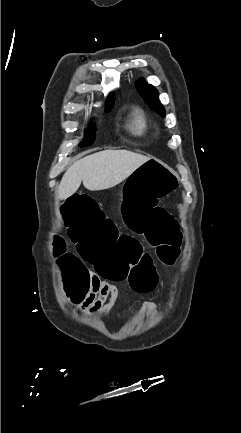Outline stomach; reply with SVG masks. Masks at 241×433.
<instances>
[{
    "mask_svg": "<svg viewBox=\"0 0 241 433\" xmlns=\"http://www.w3.org/2000/svg\"><path fill=\"white\" fill-rule=\"evenodd\" d=\"M122 195H123V191H121V192L118 194V196H119V200H120V201L123 200Z\"/></svg>",
    "mask_w": 241,
    "mask_h": 433,
    "instance_id": "stomach-1",
    "label": "stomach"
}]
</instances>
